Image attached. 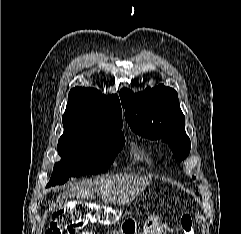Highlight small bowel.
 I'll list each match as a JSON object with an SVG mask.
<instances>
[{
	"label": "small bowel",
	"mask_w": 241,
	"mask_h": 234,
	"mask_svg": "<svg viewBox=\"0 0 241 234\" xmlns=\"http://www.w3.org/2000/svg\"><path fill=\"white\" fill-rule=\"evenodd\" d=\"M80 234H93V233L90 232V231H83V232H81ZM111 234H118V232H113V233H111Z\"/></svg>",
	"instance_id": "1"
}]
</instances>
